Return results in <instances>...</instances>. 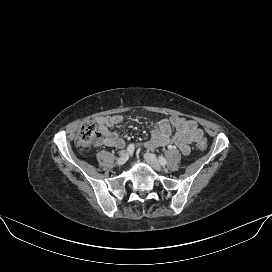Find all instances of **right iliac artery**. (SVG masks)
<instances>
[{
  "label": "right iliac artery",
  "instance_id": "right-iliac-artery-1",
  "mask_svg": "<svg viewBox=\"0 0 272 272\" xmlns=\"http://www.w3.org/2000/svg\"><path fill=\"white\" fill-rule=\"evenodd\" d=\"M134 149H135L134 144H130V145L127 147V151L130 152V153H132V152L134 151Z\"/></svg>",
  "mask_w": 272,
  "mask_h": 272
}]
</instances>
